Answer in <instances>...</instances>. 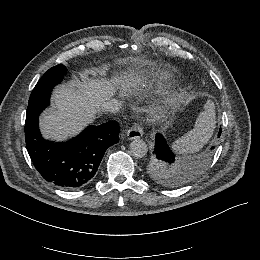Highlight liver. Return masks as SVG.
<instances>
[{
    "label": "liver",
    "mask_w": 260,
    "mask_h": 260,
    "mask_svg": "<svg viewBox=\"0 0 260 260\" xmlns=\"http://www.w3.org/2000/svg\"><path fill=\"white\" fill-rule=\"evenodd\" d=\"M82 82L76 80L61 85L53 95V111L46 112L41 119L46 136L64 138L73 134L94 118L95 108L109 100L114 93L111 84L92 82L86 85L87 73L80 75Z\"/></svg>",
    "instance_id": "liver-1"
}]
</instances>
